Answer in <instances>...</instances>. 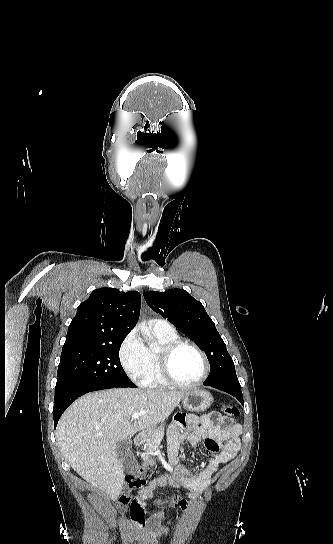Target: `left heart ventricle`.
<instances>
[{
	"label": "left heart ventricle",
	"instance_id": "b2bd125f",
	"mask_svg": "<svg viewBox=\"0 0 333 544\" xmlns=\"http://www.w3.org/2000/svg\"><path fill=\"white\" fill-rule=\"evenodd\" d=\"M172 370L179 381L192 383L202 376L204 363L195 350L184 347L175 354L172 361Z\"/></svg>",
	"mask_w": 333,
	"mask_h": 544
}]
</instances>
